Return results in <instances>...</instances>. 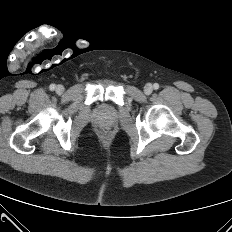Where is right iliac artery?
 Returning <instances> with one entry per match:
<instances>
[{"label":"right iliac artery","instance_id":"82829eb1","mask_svg":"<svg viewBox=\"0 0 232 232\" xmlns=\"http://www.w3.org/2000/svg\"><path fill=\"white\" fill-rule=\"evenodd\" d=\"M56 88L55 84L50 85V90H54Z\"/></svg>","mask_w":232,"mask_h":232}]
</instances>
